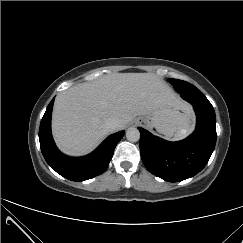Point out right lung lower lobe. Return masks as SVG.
Returning a JSON list of instances; mask_svg holds the SVG:
<instances>
[{"mask_svg":"<svg viewBox=\"0 0 243 243\" xmlns=\"http://www.w3.org/2000/svg\"><path fill=\"white\" fill-rule=\"evenodd\" d=\"M53 103L54 98L46 109L39 129L40 147L47 163L58 174L72 181H84L102 174L107 169L124 131L110 135L93 153L87 156L79 158L65 156L56 148L51 135Z\"/></svg>","mask_w":243,"mask_h":243,"instance_id":"1","label":"right lung lower lobe"}]
</instances>
